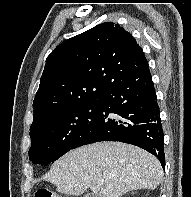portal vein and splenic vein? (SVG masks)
I'll return each instance as SVG.
<instances>
[{"label": "portal vein and splenic vein", "mask_w": 191, "mask_h": 197, "mask_svg": "<svg viewBox=\"0 0 191 197\" xmlns=\"http://www.w3.org/2000/svg\"><path fill=\"white\" fill-rule=\"evenodd\" d=\"M102 184H103V181H100V182H99V185H102Z\"/></svg>", "instance_id": "1"}]
</instances>
